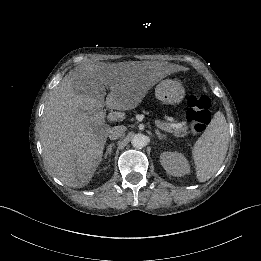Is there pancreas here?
<instances>
[{
  "label": "pancreas",
  "instance_id": "pancreas-1",
  "mask_svg": "<svg viewBox=\"0 0 261 261\" xmlns=\"http://www.w3.org/2000/svg\"><path fill=\"white\" fill-rule=\"evenodd\" d=\"M156 124L163 125L166 128L167 132L173 133V135L176 137H184L189 133L186 122H183L182 127H180V128H172L171 124L168 122L156 121Z\"/></svg>",
  "mask_w": 261,
  "mask_h": 261
}]
</instances>
